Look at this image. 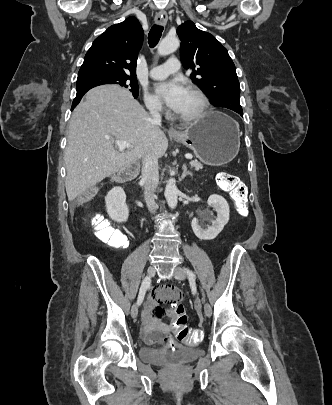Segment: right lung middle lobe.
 Returning <instances> with one entry per match:
<instances>
[{
  "instance_id": "dd1d6c3e",
  "label": "right lung middle lobe",
  "mask_w": 332,
  "mask_h": 405,
  "mask_svg": "<svg viewBox=\"0 0 332 405\" xmlns=\"http://www.w3.org/2000/svg\"><path fill=\"white\" fill-rule=\"evenodd\" d=\"M102 84H117L128 88L134 97H138L139 94L136 76L108 71H92L78 74L76 90L79 93Z\"/></svg>"
}]
</instances>
